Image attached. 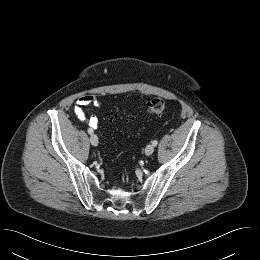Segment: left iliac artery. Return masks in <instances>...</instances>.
I'll return each mask as SVG.
<instances>
[{
  "mask_svg": "<svg viewBox=\"0 0 260 260\" xmlns=\"http://www.w3.org/2000/svg\"><path fill=\"white\" fill-rule=\"evenodd\" d=\"M152 144H153L154 146H156V145L158 144V141H157V140H154V141L152 142Z\"/></svg>",
  "mask_w": 260,
  "mask_h": 260,
  "instance_id": "1",
  "label": "left iliac artery"
}]
</instances>
